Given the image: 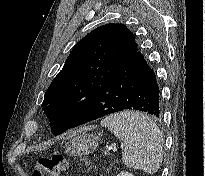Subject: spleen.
<instances>
[{
    "label": "spleen",
    "mask_w": 205,
    "mask_h": 176,
    "mask_svg": "<svg viewBox=\"0 0 205 176\" xmlns=\"http://www.w3.org/2000/svg\"><path fill=\"white\" fill-rule=\"evenodd\" d=\"M121 140L122 161L133 169L154 174L163 159V136L156 123L138 111H122L101 121Z\"/></svg>",
    "instance_id": "spleen-1"
}]
</instances>
